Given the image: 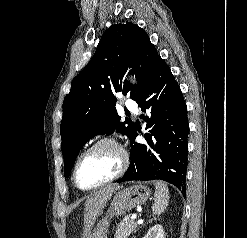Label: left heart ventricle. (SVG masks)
<instances>
[{"label": "left heart ventricle", "instance_id": "1", "mask_svg": "<svg viewBox=\"0 0 247 238\" xmlns=\"http://www.w3.org/2000/svg\"><path fill=\"white\" fill-rule=\"evenodd\" d=\"M120 165L118 150L111 145H102L82 159L77 171L78 182L83 187L96 185L116 174Z\"/></svg>", "mask_w": 247, "mask_h": 238}]
</instances>
